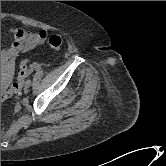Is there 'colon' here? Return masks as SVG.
Returning a JSON list of instances; mask_svg holds the SVG:
<instances>
[{"label":"colon","instance_id":"obj_1","mask_svg":"<svg viewBox=\"0 0 166 166\" xmlns=\"http://www.w3.org/2000/svg\"><path fill=\"white\" fill-rule=\"evenodd\" d=\"M48 44L51 49L58 50L59 48H61V46L63 44V40L59 35H52L48 39ZM29 72H30L29 63L27 60H23L20 63L18 79L12 84V86L9 88L8 91H6L4 93L1 92V102L6 100L7 98H9L10 96H12L13 93L20 90V88L22 87L24 78L26 77V75Z\"/></svg>","mask_w":166,"mask_h":166}]
</instances>
